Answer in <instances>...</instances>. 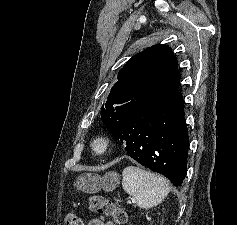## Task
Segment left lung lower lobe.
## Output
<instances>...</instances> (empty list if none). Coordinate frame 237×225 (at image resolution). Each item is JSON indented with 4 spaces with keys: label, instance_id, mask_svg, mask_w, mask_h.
Returning a JSON list of instances; mask_svg holds the SVG:
<instances>
[{
    "label": "left lung lower lobe",
    "instance_id": "obj_1",
    "mask_svg": "<svg viewBox=\"0 0 237 225\" xmlns=\"http://www.w3.org/2000/svg\"><path fill=\"white\" fill-rule=\"evenodd\" d=\"M141 165L181 186L187 172L189 137L181 93L142 108L113 136Z\"/></svg>",
    "mask_w": 237,
    "mask_h": 225
}]
</instances>
